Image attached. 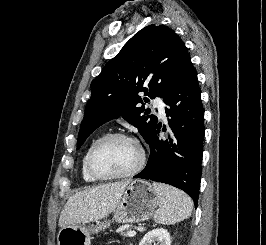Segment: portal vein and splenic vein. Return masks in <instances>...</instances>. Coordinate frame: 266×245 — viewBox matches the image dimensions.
<instances>
[{
  "instance_id": "18ae733b",
  "label": "portal vein and splenic vein",
  "mask_w": 266,
  "mask_h": 245,
  "mask_svg": "<svg viewBox=\"0 0 266 245\" xmlns=\"http://www.w3.org/2000/svg\"><path fill=\"white\" fill-rule=\"evenodd\" d=\"M126 235L127 237H135L136 231H127Z\"/></svg>"
}]
</instances>
